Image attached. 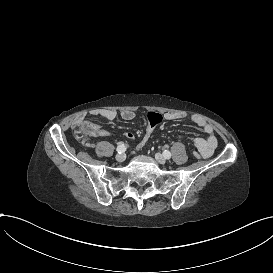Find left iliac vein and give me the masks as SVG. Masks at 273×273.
<instances>
[{"label":"left iliac vein","instance_id":"obj_1","mask_svg":"<svg viewBox=\"0 0 273 273\" xmlns=\"http://www.w3.org/2000/svg\"><path fill=\"white\" fill-rule=\"evenodd\" d=\"M155 159L160 163V164H165L166 163V158L160 154V153H156L155 154Z\"/></svg>","mask_w":273,"mask_h":273}]
</instances>
